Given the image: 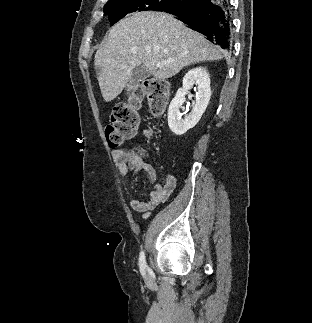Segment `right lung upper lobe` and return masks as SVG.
I'll return each mask as SVG.
<instances>
[{"mask_svg":"<svg viewBox=\"0 0 312 323\" xmlns=\"http://www.w3.org/2000/svg\"><path fill=\"white\" fill-rule=\"evenodd\" d=\"M109 1H111V0H109ZM109 1H108V2H109ZM108 2H107V3H108ZM156 11H162V10H156Z\"/></svg>","mask_w":312,"mask_h":323,"instance_id":"1","label":"right lung upper lobe"}]
</instances>
